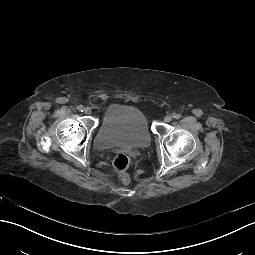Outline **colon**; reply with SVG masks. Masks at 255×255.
Wrapping results in <instances>:
<instances>
[{"label": "colon", "instance_id": "colon-1", "mask_svg": "<svg viewBox=\"0 0 255 255\" xmlns=\"http://www.w3.org/2000/svg\"><path fill=\"white\" fill-rule=\"evenodd\" d=\"M130 164V158L125 153H119L115 156L113 160V167L121 177L124 183H128L130 178L127 173V168Z\"/></svg>", "mask_w": 255, "mask_h": 255}]
</instances>
